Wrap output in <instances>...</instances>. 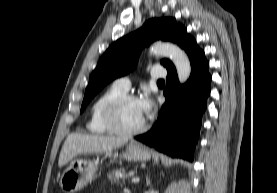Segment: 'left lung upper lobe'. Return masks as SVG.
<instances>
[{"mask_svg": "<svg viewBox=\"0 0 277 193\" xmlns=\"http://www.w3.org/2000/svg\"><path fill=\"white\" fill-rule=\"evenodd\" d=\"M157 39L171 41L184 49L191 36L186 34V29L177 24L174 18H154L147 21L138 31L114 42L102 55L90 76L81 112L106 84L133 70L141 50ZM161 64L167 68L172 62L163 59Z\"/></svg>", "mask_w": 277, "mask_h": 193, "instance_id": "obj_1", "label": "left lung upper lobe"}]
</instances>
